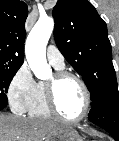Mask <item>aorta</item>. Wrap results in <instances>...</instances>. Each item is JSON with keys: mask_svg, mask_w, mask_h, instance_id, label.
Returning a JSON list of instances; mask_svg holds the SVG:
<instances>
[{"mask_svg": "<svg viewBox=\"0 0 119 141\" xmlns=\"http://www.w3.org/2000/svg\"><path fill=\"white\" fill-rule=\"evenodd\" d=\"M54 20L51 17L40 18L28 35L25 54L34 75L41 80L50 76L51 68L46 60V46L53 32Z\"/></svg>", "mask_w": 119, "mask_h": 141, "instance_id": "762f6f07", "label": "aorta"}]
</instances>
